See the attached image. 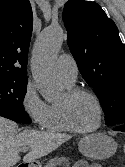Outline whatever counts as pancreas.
<instances>
[{
  "label": "pancreas",
  "instance_id": "cf45deb5",
  "mask_svg": "<svg viewBox=\"0 0 125 167\" xmlns=\"http://www.w3.org/2000/svg\"><path fill=\"white\" fill-rule=\"evenodd\" d=\"M69 158L66 157H55L49 160V162L44 167H69Z\"/></svg>",
  "mask_w": 125,
  "mask_h": 167
}]
</instances>
